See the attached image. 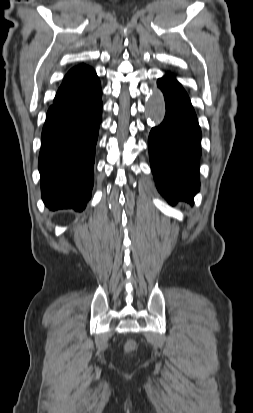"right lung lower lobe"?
Segmentation results:
<instances>
[{
    "label": "right lung lower lobe",
    "mask_w": 253,
    "mask_h": 413,
    "mask_svg": "<svg viewBox=\"0 0 253 413\" xmlns=\"http://www.w3.org/2000/svg\"><path fill=\"white\" fill-rule=\"evenodd\" d=\"M100 82L84 94L50 106L39 154L42 199L52 209L83 211L94 183L102 118Z\"/></svg>",
    "instance_id": "right-lung-lower-lobe-1"
}]
</instances>
